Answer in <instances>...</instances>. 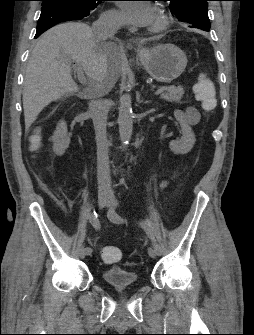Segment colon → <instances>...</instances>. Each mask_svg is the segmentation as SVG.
I'll return each mask as SVG.
<instances>
[{
	"label": "colon",
	"mask_w": 254,
	"mask_h": 335,
	"mask_svg": "<svg viewBox=\"0 0 254 335\" xmlns=\"http://www.w3.org/2000/svg\"><path fill=\"white\" fill-rule=\"evenodd\" d=\"M193 90L205 112L210 113L215 110L217 106L216 91L214 83L209 78L200 74L193 85ZM31 150L34 151L32 153L34 158L29 159V164L39 165L40 159L37 158L39 156L37 151L42 150V145L34 142L31 145ZM101 256L106 263H115L121 259L122 254L119 248L106 246L101 250Z\"/></svg>",
	"instance_id": "colon-1"
}]
</instances>
